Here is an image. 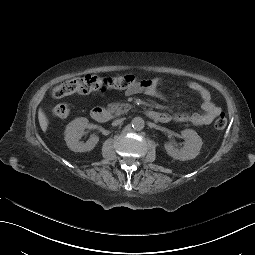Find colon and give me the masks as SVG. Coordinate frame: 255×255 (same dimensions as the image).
Here are the masks:
<instances>
[{"label": "colon", "mask_w": 255, "mask_h": 255, "mask_svg": "<svg viewBox=\"0 0 255 255\" xmlns=\"http://www.w3.org/2000/svg\"><path fill=\"white\" fill-rule=\"evenodd\" d=\"M139 80L130 74L117 75V76H97L86 75L85 77L64 81L57 85L52 95L54 98H63L73 93H90L97 90H106L110 88L115 89H128L135 85ZM53 114L59 118L67 117L71 112L69 103H59L53 107ZM228 120L224 114H220L214 121V127L217 130L226 128Z\"/></svg>", "instance_id": "1"}]
</instances>
